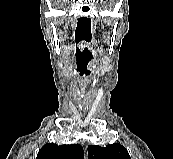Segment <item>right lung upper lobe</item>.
Wrapping results in <instances>:
<instances>
[{
  "mask_svg": "<svg viewBox=\"0 0 173 159\" xmlns=\"http://www.w3.org/2000/svg\"><path fill=\"white\" fill-rule=\"evenodd\" d=\"M36 159H84L83 148L79 144L61 145L45 144Z\"/></svg>",
  "mask_w": 173,
  "mask_h": 159,
  "instance_id": "right-lung-upper-lobe-1",
  "label": "right lung upper lobe"
}]
</instances>
